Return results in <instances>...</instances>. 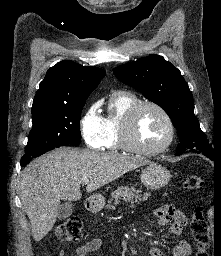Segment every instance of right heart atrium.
I'll return each mask as SVG.
<instances>
[{"label":"right heart atrium","instance_id":"1","mask_svg":"<svg viewBox=\"0 0 221 256\" xmlns=\"http://www.w3.org/2000/svg\"><path fill=\"white\" fill-rule=\"evenodd\" d=\"M80 132L85 144L90 148L100 149L104 145V118L99 113L97 103L91 104L81 116Z\"/></svg>","mask_w":221,"mask_h":256}]
</instances>
